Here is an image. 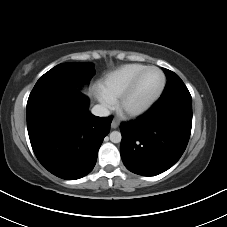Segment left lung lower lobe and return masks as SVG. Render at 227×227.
Returning a JSON list of instances; mask_svg holds the SVG:
<instances>
[{"instance_id":"1","label":"left lung lower lobe","mask_w":227,"mask_h":227,"mask_svg":"<svg viewBox=\"0 0 227 227\" xmlns=\"http://www.w3.org/2000/svg\"><path fill=\"white\" fill-rule=\"evenodd\" d=\"M192 127V101H157L144 115L120 126L125 167L143 176L158 175L184 153Z\"/></svg>"}]
</instances>
